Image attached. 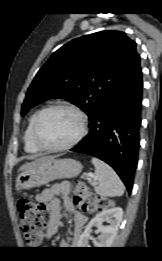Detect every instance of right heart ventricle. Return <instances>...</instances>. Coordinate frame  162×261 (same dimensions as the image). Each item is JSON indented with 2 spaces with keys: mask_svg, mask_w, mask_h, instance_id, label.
<instances>
[{
  "mask_svg": "<svg viewBox=\"0 0 162 261\" xmlns=\"http://www.w3.org/2000/svg\"><path fill=\"white\" fill-rule=\"evenodd\" d=\"M40 112V110L36 111L29 119L26 130L24 132V146H25V150L28 153L31 154H36L39 153L41 151V149H39L34 141H33V136H32V132H33V126H34V122L36 119L37 114Z\"/></svg>",
  "mask_w": 162,
  "mask_h": 261,
  "instance_id": "e07e8e85",
  "label": "right heart ventricle"
}]
</instances>
